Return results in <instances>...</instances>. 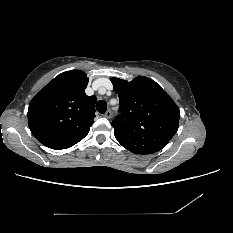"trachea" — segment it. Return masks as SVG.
<instances>
[{"instance_id":"3493384b","label":"trachea","mask_w":233,"mask_h":233,"mask_svg":"<svg viewBox=\"0 0 233 233\" xmlns=\"http://www.w3.org/2000/svg\"><path fill=\"white\" fill-rule=\"evenodd\" d=\"M96 110L99 113L104 114L107 110V103L104 100H99L96 104Z\"/></svg>"}]
</instances>
